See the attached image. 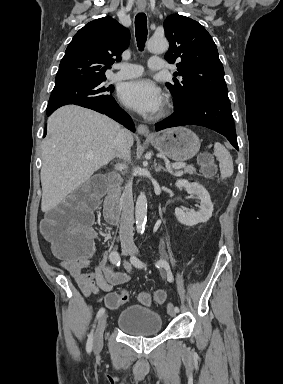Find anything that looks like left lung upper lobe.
Here are the masks:
<instances>
[{"label":"left lung upper lobe","mask_w":283,"mask_h":384,"mask_svg":"<svg viewBox=\"0 0 283 384\" xmlns=\"http://www.w3.org/2000/svg\"><path fill=\"white\" fill-rule=\"evenodd\" d=\"M165 36L170 42L165 59L177 61L175 76L181 82L166 83L178 108L204 97L228 96L223 65L217 47L206 29L186 16L173 14L164 21Z\"/></svg>","instance_id":"1"}]
</instances>
